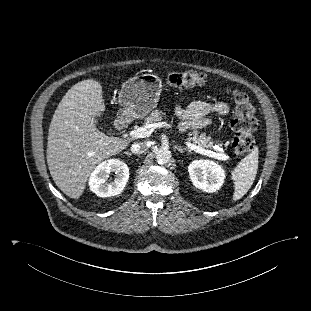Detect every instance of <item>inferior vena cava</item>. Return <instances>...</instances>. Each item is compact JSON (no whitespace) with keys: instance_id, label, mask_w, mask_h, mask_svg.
Returning a JSON list of instances; mask_svg holds the SVG:
<instances>
[{"instance_id":"obj_1","label":"inferior vena cava","mask_w":311,"mask_h":311,"mask_svg":"<svg viewBox=\"0 0 311 311\" xmlns=\"http://www.w3.org/2000/svg\"><path fill=\"white\" fill-rule=\"evenodd\" d=\"M146 144L145 143H134L131 146V151L133 153H142L146 150Z\"/></svg>"}]
</instances>
